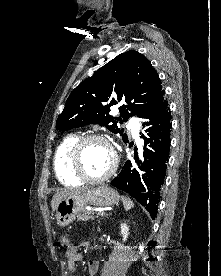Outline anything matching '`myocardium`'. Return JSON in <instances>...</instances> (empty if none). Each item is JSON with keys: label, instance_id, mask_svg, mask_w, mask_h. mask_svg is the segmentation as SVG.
<instances>
[{"label": "myocardium", "instance_id": "obj_1", "mask_svg": "<svg viewBox=\"0 0 221 276\" xmlns=\"http://www.w3.org/2000/svg\"><path fill=\"white\" fill-rule=\"evenodd\" d=\"M90 141H100L109 146L113 153V162L111 167L101 176L92 177L86 173L82 164V149L84 145ZM118 155L111 144V142L103 135L100 134H87L80 136L73 143L70 151H69V165L76 177H78L81 181H85L88 183H101L109 179L117 170L118 167Z\"/></svg>", "mask_w": 221, "mask_h": 276}]
</instances>
